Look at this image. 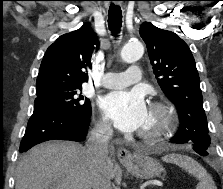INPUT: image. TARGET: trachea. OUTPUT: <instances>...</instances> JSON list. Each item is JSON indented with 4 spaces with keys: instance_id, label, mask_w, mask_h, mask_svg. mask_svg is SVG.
<instances>
[{
    "instance_id": "1",
    "label": "trachea",
    "mask_w": 223,
    "mask_h": 189,
    "mask_svg": "<svg viewBox=\"0 0 223 189\" xmlns=\"http://www.w3.org/2000/svg\"><path fill=\"white\" fill-rule=\"evenodd\" d=\"M122 25V11L117 5L111 4L108 11V26L113 36H117Z\"/></svg>"
}]
</instances>
